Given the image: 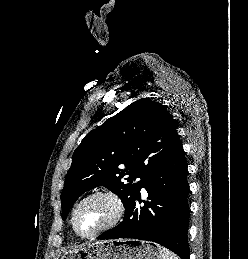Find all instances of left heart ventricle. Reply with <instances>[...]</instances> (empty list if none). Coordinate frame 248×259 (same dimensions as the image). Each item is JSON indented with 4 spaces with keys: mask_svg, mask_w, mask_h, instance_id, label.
<instances>
[{
    "mask_svg": "<svg viewBox=\"0 0 248 259\" xmlns=\"http://www.w3.org/2000/svg\"><path fill=\"white\" fill-rule=\"evenodd\" d=\"M115 212V205L110 199L106 197L90 199L77 212V228L83 234H92L109 223Z\"/></svg>",
    "mask_w": 248,
    "mask_h": 259,
    "instance_id": "left-heart-ventricle-1",
    "label": "left heart ventricle"
}]
</instances>
